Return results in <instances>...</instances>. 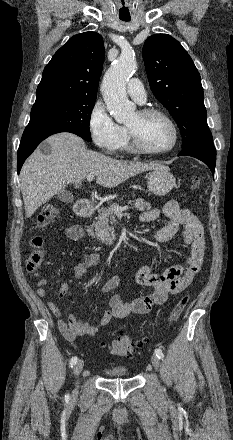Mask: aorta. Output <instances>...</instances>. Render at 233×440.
Wrapping results in <instances>:
<instances>
[{
	"mask_svg": "<svg viewBox=\"0 0 233 440\" xmlns=\"http://www.w3.org/2000/svg\"><path fill=\"white\" fill-rule=\"evenodd\" d=\"M136 68L131 52L123 53L105 73L101 91L108 111L116 122L125 123L135 115L136 106L128 100L126 83Z\"/></svg>",
	"mask_w": 233,
	"mask_h": 440,
	"instance_id": "1",
	"label": "aorta"
}]
</instances>
